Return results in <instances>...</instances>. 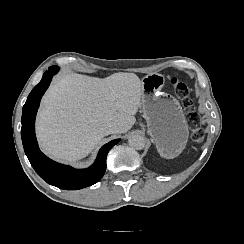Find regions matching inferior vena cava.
Returning <instances> with one entry per match:
<instances>
[{
	"mask_svg": "<svg viewBox=\"0 0 244 244\" xmlns=\"http://www.w3.org/2000/svg\"><path fill=\"white\" fill-rule=\"evenodd\" d=\"M104 132H105L106 135L111 134V133H116L117 132V127L113 123L106 124L105 127H104Z\"/></svg>",
	"mask_w": 244,
	"mask_h": 244,
	"instance_id": "1",
	"label": "inferior vena cava"
}]
</instances>
